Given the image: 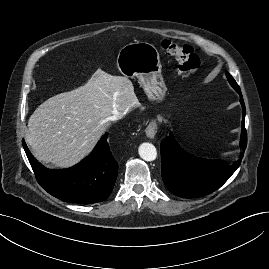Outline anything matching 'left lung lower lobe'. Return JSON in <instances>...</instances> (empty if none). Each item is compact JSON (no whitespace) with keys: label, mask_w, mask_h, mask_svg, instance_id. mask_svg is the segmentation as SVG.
<instances>
[{"label":"left lung lower lobe","mask_w":269,"mask_h":269,"mask_svg":"<svg viewBox=\"0 0 269 269\" xmlns=\"http://www.w3.org/2000/svg\"><path fill=\"white\" fill-rule=\"evenodd\" d=\"M243 108L240 159L228 166L224 161L197 158L185 152L172 133L160 145L162 179L170 192L184 198L205 196L221 187L239 167L246 145L245 105L240 90Z\"/></svg>","instance_id":"left-lung-lower-lobe-1"}]
</instances>
